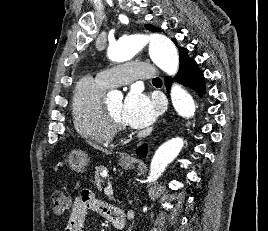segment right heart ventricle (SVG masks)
Instances as JSON below:
<instances>
[{"label":"right heart ventricle","instance_id":"e07e8e85","mask_svg":"<svg viewBox=\"0 0 268 231\" xmlns=\"http://www.w3.org/2000/svg\"><path fill=\"white\" fill-rule=\"evenodd\" d=\"M109 87L98 79L85 77L75 88L71 114L78 134L98 144H109L115 131L109 123L102 103Z\"/></svg>","mask_w":268,"mask_h":231}]
</instances>
